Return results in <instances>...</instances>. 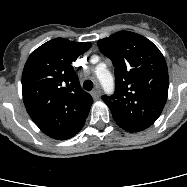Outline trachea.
<instances>
[{"mask_svg":"<svg viewBox=\"0 0 187 187\" xmlns=\"http://www.w3.org/2000/svg\"><path fill=\"white\" fill-rule=\"evenodd\" d=\"M83 88L87 91H91L92 88H93V82L91 80H86L84 83H83Z\"/></svg>","mask_w":187,"mask_h":187,"instance_id":"trachea-1","label":"trachea"}]
</instances>
